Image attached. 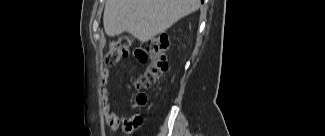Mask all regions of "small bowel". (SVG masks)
Masks as SVG:
<instances>
[{"label": "small bowel", "mask_w": 325, "mask_h": 136, "mask_svg": "<svg viewBox=\"0 0 325 136\" xmlns=\"http://www.w3.org/2000/svg\"><path fill=\"white\" fill-rule=\"evenodd\" d=\"M145 44H131L130 49L134 53V59L136 60L137 64H139L141 67L147 63L148 54L146 53ZM109 76H110V70L104 69L102 71V85L105 87L104 93L102 96V108L105 116V120L109 127L112 130H117L120 127H123L126 131H131L138 125H140L143 121V117L141 115H134L129 118H121L118 116L115 111L112 109V106L109 101L108 93L106 90V87L109 83ZM129 79H134V74H129ZM143 96L145 101L140 102L139 98ZM147 101L146 96L140 95L137 98V104L139 106L145 105Z\"/></svg>", "instance_id": "small-bowel-1"}]
</instances>
